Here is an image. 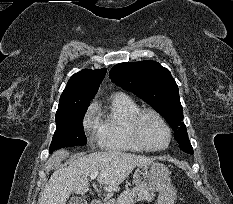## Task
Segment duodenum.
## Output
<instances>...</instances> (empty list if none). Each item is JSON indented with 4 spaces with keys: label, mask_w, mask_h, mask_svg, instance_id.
<instances>
[{
    "label": "duodenum",
    "mask_w": 233,
    "mask_h": 204,
    "mask_svg": "<svg viewBox=\"0 0 233 204\" xmlns=\"http://www.w3.org/2000/svg\"><path fill=\"white\" fill-rule=\"evenodd\" d=\"M91 204H102V202L98 199H94Z\"/></svg>",
    "instance_id": "obj_1"
}]
</instances>
